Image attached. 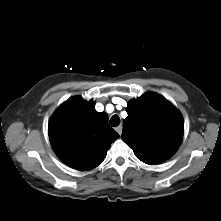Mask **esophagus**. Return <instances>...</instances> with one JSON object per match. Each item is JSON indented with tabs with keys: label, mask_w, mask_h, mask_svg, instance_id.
I'll return each instance as SVG.
<instances>
[{
	"label": "esophagus",
	"mask_w": 221,
	"mask_h": 221,
	"mask_svg": "<svg viewBox=\"0 0 221 221\" xmlns=\"http://www.w3.org/2000/svg\"><path fill=\"white\" fill-rule=\"evenodd\" d=\"M122 125H119L118 127H116V131L121 135L122 134Z\"/></svg>",
	"instance_id": "esophagus-1"
}]
</instances>
